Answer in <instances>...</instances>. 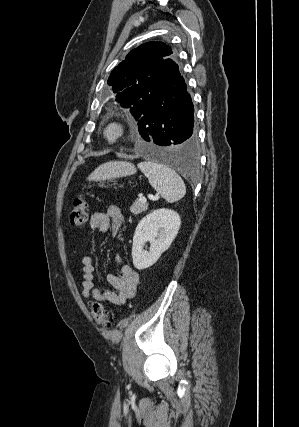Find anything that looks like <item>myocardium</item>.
<instances>
[{
  "label": "myocardium",
  "instance_id": "obj_1",
  "mask_svg": "<svg viewBox=\"0 0 299 427\" xmlns=\"http://www.w3.org/2000/svg\"><path fill=\"white\" fill-rule=\"evenodd\" d=\"M127 133V126L124 121L118 118L106 120L101 127L102 139L110 145L120 142Z\"/></svg>",
  "mask_w": 299,
  "mask_h": 427
}]
</instances>
